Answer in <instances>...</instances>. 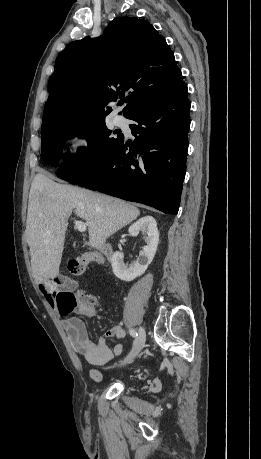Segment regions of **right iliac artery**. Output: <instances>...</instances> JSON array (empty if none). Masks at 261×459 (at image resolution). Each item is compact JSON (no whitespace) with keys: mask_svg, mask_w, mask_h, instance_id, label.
Wrapping results in <instances>:
<instances>
[{"mask_svg":"<svg viewBox=\"0 0 261 459\" xmlns=\"http://www.w3.org/2000/svg\"><path fill=\"white\" fill-rule=\"evenodd\" d=\"M129 333L132 337H137L138 333L134 329H129Z\"/></svg>","mask_w":261,"mask_h":459,"instance_id":"82829eb1","label":"right iliac artery"}]
</instances>
